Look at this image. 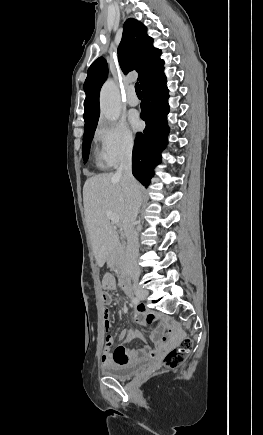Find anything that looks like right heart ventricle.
Wrapping results in <instances>:
<instances>
[{"label":"right heart ventricle","instance_id":"right-heart-ventricle-1","mask_svg":"<svg viewBox=\"0 0 263 435\" xmlns=\"http://www.w3.org/2000/svg\"><path fill=\"white\" fill-rule=\"evenodd\" d=\"M97 159H98V165L101 168H105L107 166V163L103 160L101 153H97Z\"/></svg>","mask_w":263,"mask_h":435}]
</instances>
